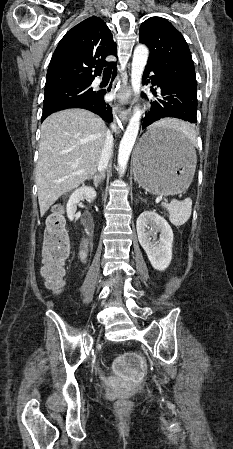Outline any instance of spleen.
Masks as SVG:
<instances>
[{"label":"spleen","mask_w":233,"mask_h":449,"mask_svg":"<svg viewBox=\"0 0 233 449\" xmlns=\"http://www.w3.org/2000/svg\"><path fill=\"white\" fill-rule=\"evenodd\" d=\"M173 128L174 133H185L186 137L191 136L194 131L193 124L190 125H170ZM169 212V220L175 226H181L185 224L191 216L192 212V200L186 198L183 201L172 199L170 203L163 202Z\"/></svg>","instance_id":"spleen-1"}]
</instances>
